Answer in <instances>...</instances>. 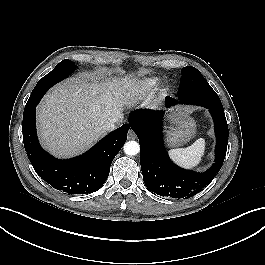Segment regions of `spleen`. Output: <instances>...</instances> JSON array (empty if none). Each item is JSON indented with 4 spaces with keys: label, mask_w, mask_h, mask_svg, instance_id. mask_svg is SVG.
Segmentation results:
<instances>
[{
    "label": "spleen",
    "mask_w": 265,
    "mask_h": 265,
    "mask_svg": "<svg viewBox=\"0 0 265 265\" xmlns=\"http://www.w3.org/2000/svg\"><path fill=\"white\" fill-rule=\"evenodd\" d=\"M205 152V140L200 138L187 148H177L169 151L173 161L185 168H195L202 160Z\"/></svg>",
    "instance_id": "obj_1"
}]
</instances>
